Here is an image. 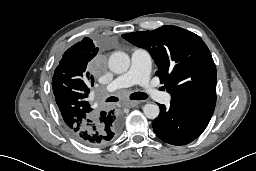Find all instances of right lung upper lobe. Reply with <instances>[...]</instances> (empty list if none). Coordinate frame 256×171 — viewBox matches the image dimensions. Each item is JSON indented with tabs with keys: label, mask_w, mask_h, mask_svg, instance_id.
I'll return each instance as SVG.
<instances>
[{
	"label": "right lung upper lobe",
	"mask_w": 256,
	"mask_h": 171,
	"mask_svg": "<svg viewBox=\"0 0 256 171\" xmlns=\"http://www.w3.org/2000/svg\"><path fill=\"white\" fill-rule=\"evenodd\" d=\"M98 48L93 41L84 37L81 42L76 43L64 54L56 67L52 87L55 100L64 122L73 134H78L86 129H94L99 111L91 108L88 102L90 91L89 84L93 86L94 78L87 71L88 62L96 56ZM69 64L72 68L71 78L62 74V67ZM66 80H71L75 92L66 87ZM101 112V111H100Z\"/></svg>",
	"instance_id": "cb5924a9"
}]
</instances>
